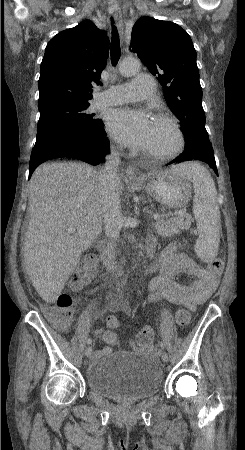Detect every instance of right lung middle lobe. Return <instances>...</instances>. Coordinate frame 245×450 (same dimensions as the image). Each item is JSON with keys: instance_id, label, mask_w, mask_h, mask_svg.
Instances as JSON below:
<instances>
[{"instance_id": "right-lung-middle-lobe-1", "label": "right lung middle lobe", "mask_w": 245, "mask_h": 450, "mask_svg": "<svg viewBox=\"0 0 245 450\" xmlns=\"http://www.w3.org/2000/svg\"><path fill=\"white\" fill-rule=\"evenodd\" d=\"M89 104H55L39 109L37 139L33 151L76 140L93 139L102 121L88 112Z\"/></svg>"}]
</instances>
